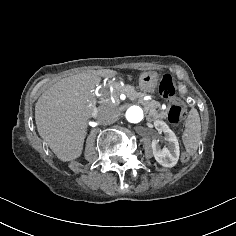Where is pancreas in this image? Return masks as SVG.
Instances as JSON below:
<instances>
[{"label": "pancreas", "instance_id": "cf45deb5", "mask_svg": "<svg viewBox=\"0 0 236 236\" xmlns=\"http://www.w3.org/2000/svg\"><path fill=\"white\" fill-rule=\"evenodd\" d=\"M114 93L118 97L120 94H125L130 100L137 101L144 106L145 113L148 116L156 118L167 117V111L161 109V104L155 100H144V93L137 92L131 85L121 86L119 83H113Z\"/></svg>", "mask_w": 236, "mask_h": 236}]
</instances>
